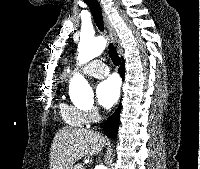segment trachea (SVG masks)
Wrapping results in <instances>:
<instances>
[{"instance_id": "1", "label": "trachea", "mask_w": 200, "mask_h": 169, "mask_svg": "<svg viewBox=\"0 0 200 169\" xmlns=\"http://www.w3.org/2000/svg\"><path fill=\"white\" fill-rule=\"evenodd\" d=\"M84 2L89 6L93 19L97 25V27L101 30L104 31V22H103V16L102 12L100 9V6L97 2V0H84ZM108 53L113 61V63L118 66L121 64V58L119 57L114 45L112 43L109 44L108 47Z\"/></svg>"}]
</instances>
